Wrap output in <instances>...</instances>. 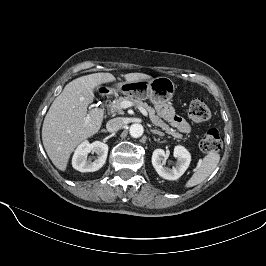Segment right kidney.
Returning <instances> with one entry per match:
<instances>
[{
	"label": "right kidney",
	"instance_id": "ca27d5eb",
	"mask_svg": "<svg viewBox=\"0 0 266 266\" xmlns=\"http://www.w3.org/2000/svg\"><path fill=\"white\" fill-rule=\"evenodd\" d=\"M90 152L96 154V158L93 162L90 159L87 160ZM107 154V144L100 141H95L91 144L88 141H83L75 150L72 158V166L80 172L97 171L105 164Z\"/></svg>",
	"mask_w": 266,
	"mask_h": 266
}]
</instances>
